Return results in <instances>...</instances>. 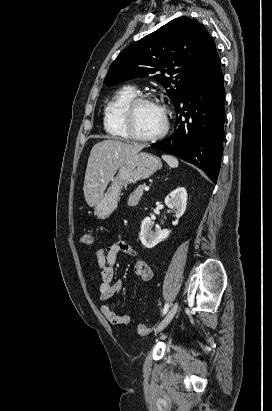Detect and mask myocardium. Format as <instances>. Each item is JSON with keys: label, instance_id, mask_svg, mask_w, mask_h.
Returning a JSON list of instances; mask_svg holds the SVG:
<instances>
[{"label": "myocardium", "instance_id": "myocardium-1", "mask_svg": "<svg viewBox=\"0 0 272 411\" xmlns=\"http://www.w3.org/2000/svg\"><path fill=\"white\" fill-rule=\"evenodd\" d=\"M143 103H154L157 104L163 114V125L160 131L153 135L149 136H143L139 135L135 132L134 127H133V118L135 111L137 107L140 104ZM122 123L123 127L128 135V137L132 140L135 141H141V142H154L157 140L162 139L168 132L169 130V116H168V111L165 107L164 104H162L160 101H158L156 98L150 95H136L133 97L124 107L123 112H122Z\"/></svg>", "mask_w": 272, "mask_h": 411}]
</instances>
